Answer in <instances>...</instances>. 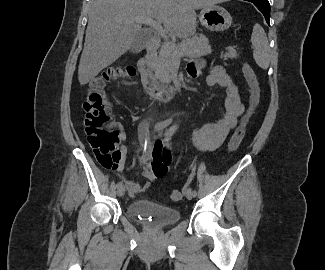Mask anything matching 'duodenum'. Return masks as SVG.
<instances>
[{"instance_id": "duodenum-1", "label": "duodenum", "mask_w": 325, "mask_h": 270, "mask_svg": "<svg viewBox=\"0 0 325 270\" xmlns=\"http://www.w3.org/2000/svg\"><path fill=\"white\" fill-rule=\"evenodd\" d=\"M160 45V37L154 36L148 43L143 57L138 62V69L141 74L143 86L147 93L161 102H168L175 97L177 88L175 86L160 87L155 80L152 69Z\"/></svg>"}]
</instances>
